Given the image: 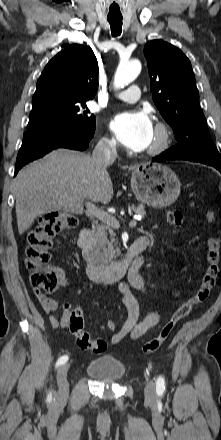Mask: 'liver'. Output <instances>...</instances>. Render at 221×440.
Wrapping results in <instances>:
<instances>
[{
	"label": "liver",
	"instance_id": "obj_1",
	"mask_svg": "<svg viewBox=\"0 0 221 440\" xmlns=\"http://www.w3.org/2000/svg\"><path fill=\"white\" fill-rule=\"evenodd\" d=\"M14 191L21 235L40 215L53 211L81 215L85 199L109 203L113 184L106 169L97 170L90 155L57 149L21 169L14 181Z\"/></svg>",
	"mask_w": 221,
	"mask_h": 440
}]
</instances>
